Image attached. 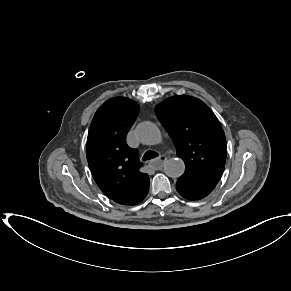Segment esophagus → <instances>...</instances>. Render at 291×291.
<instances>
[{"label":"esophagus","instance_id":"obj_1","mask_svg":"<svg viewBox=\"0 0 291 291\" xmlns=\"http://www.w3.org/2000/svg\"><path fill=\"white\" fill-rule=\"evenodd\" d=\"M166 161H167L166 156L162 155V156H159L157 159L152 160V162L150 163V166L156 170H159L163 167Z\"/></svg>","mask_w":291,"mask_h":291}]
</instances>
